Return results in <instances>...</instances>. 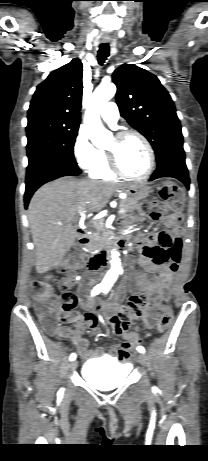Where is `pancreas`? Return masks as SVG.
Masks as SVG:
<instances>
[{
	"mask_svg": "<svg viewBox=\"0 0 208 461\" xmlns=\"http://www.w3.org/2000/svg\"><path fill=\"white\" fill-rule=\"evenodd\" d=\"M138 201L133 198H126L120 201V208L125 209L126 213L136 209ZM96 231L91 235L90 242L86 245L88 250H96L107 243L108 233L105 231L102 222L97 223Z\"/></svg>",
	"mask_w": 208,
	"mask_h": 461,
	"instance_id": "obj_1",
	"label": "pancreas"
}]
</instances>
